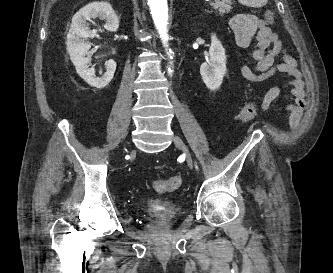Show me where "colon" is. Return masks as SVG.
Returning <instances> with one entry per match:
<instances>
[{"mask_svg": "<svg viewBox=\"0 0 333 273\" xmlns=\"http://www.w3.org/2000/svg\"><path fill=\"white\" fill-rule=\"evenodd\" d=\"M265 20L268 23H273L274 13L272 11H267L265 13ZM258 112V105L253 102L245 103L241 107V118L244 121L252 120ZM182 184V179L180 176H172L168 179H158L154 182L153 187L157 193L164 194L174 192L180 188Z\"/></svg>", "mask_w": 333, "mask_h": 273, "instance_id": "1", "label": "colon"}]
</instances>
